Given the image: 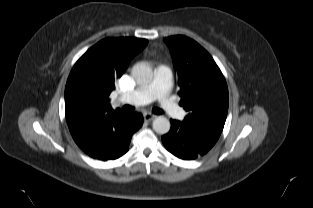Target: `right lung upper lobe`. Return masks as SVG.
<instances>
[{"instance_id": "1", "label": "right lung upper lobe", "mask_w": 313, "mask_h": 208, "mask_svg": "<svg viewBox=\"0 0 313 208\" xmlns=\"http://www.w3.org/2000/svg\"><path fill=\"white\" fill-rule=\"evenodd\" d=\"M147 43L140 38H105L88 49L68 77L65 114L112 111L109 95L115 82Z\"/></svg>"}]
</instances>
